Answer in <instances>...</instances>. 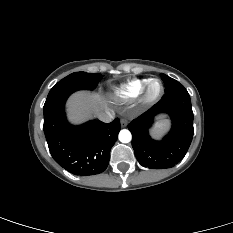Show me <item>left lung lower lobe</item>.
<instances>
[{
  "label": "left lung lower lobe",
  "instance_id": "1",
  "mask_svg": "<svg viewBox=\"0 0 233 233\" xmlns=\"http://www.w3.org/2000/svg\"><path fill=\"white\" fill-rule=\"evenodd\" d=\"M166 113L172 120V128L161 141L149 135L154 117ZM128 128L132 133V147L138 162L151 169L171 168L188 151L193 129L191 99L183 85L167 90L162 99L148 111L134 119Z\"/></svg>",
  "mask_w": 233,
  "mask_h": 233
}]
</instances>
